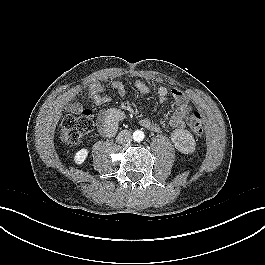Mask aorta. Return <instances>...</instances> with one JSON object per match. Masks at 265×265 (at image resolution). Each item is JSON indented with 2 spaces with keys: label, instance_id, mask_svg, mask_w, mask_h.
Listing matches in <instances>:
<instances>
[{
  "label": "aorta",
  "instance_id": "762f6f07",
  "mask_svg": "<svg viewBox=\"0 0 265 265\" xmlns=\"http://www.w3.org/2000/svg\"><path fill=\"white\" fill-rule=\"evenodd\" d=\"M133 139H134V141H137V142L142 141L144 139V132L140 131V130H136L133 133Z\"/></svg>",
  "mask_w": 265,
  "mask_h": 265
}]
</instances>
